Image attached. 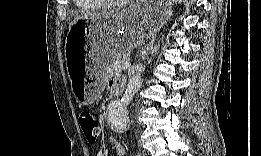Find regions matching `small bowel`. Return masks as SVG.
Returning a JSON list of instances; mask_svg holds the SVG:
<instances>
[{"label":"small bowel","mask_w":261,"mask_h":156,"mask_svg":"<svg viewBox=\"0 0 261 156\" xmlns=\"http://www.w3.org/2000/svg\"><path fill=\"white\" fill-rule=\"evenodd\" d=\"M123 86V82L119 79H112L109 82V91L110 93L118 92ZM110 143L115 146L116 153L118 156H124L126 154V150L124 146L116 139H111ZM99 155V154H97Z\"/></svg>","instance_id":"1"}]
</instances>
